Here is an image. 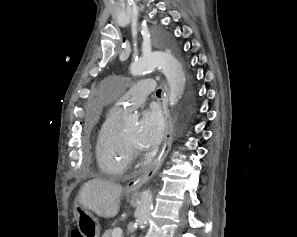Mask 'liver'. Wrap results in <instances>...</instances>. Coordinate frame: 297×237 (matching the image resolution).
Masks as SVG:
<instances>
[{"label": "liver", "instance_id": "obj_1", "mask_svg": "<svg viewBox=\"0 0 297 237\" xmlns=\"http://www.w3.org/2000/svg\"><path fill=\"white\" fill-rule=\"evenodd\" d=\"M121 193L120 185L96 178L83 185L79 203L102 218H112L118 213Z\"/></svg>", "mask_w": 297, "mask_h": 237}]
</instances>
